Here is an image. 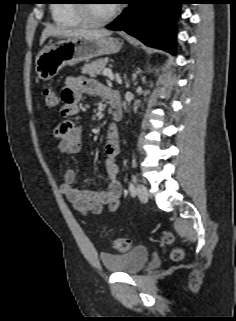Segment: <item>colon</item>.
Wrapping results in <instances>:
<instances>
[{
    "label": "colon",
    "mask_w": 236,
    "mask_h": 321,
    "mask_svg": "<svg viewBox=\"0 0 236 321\" xmlns=\"http://www.w3.org/2000/svg\"><path fill=\"white\" fill-rule=\"evenodd\" d=\"M44 105L48 109H55L58 105V95L56 91L52 89H46L43 94ZM161 240L165 243H172L174 240L173 235L165 231L161 234ZM111 244L113 248L120 252L126 253L131 249L132 242L126 238H113L111 239ZM172 258L175 260H180L184 256V251L181 248H176L172 251Z\"/></svg>",
    "instance_id": "5ec220e1"
}]
</instances>
